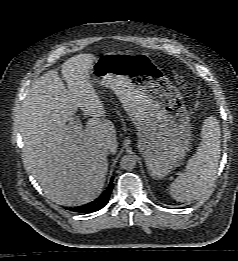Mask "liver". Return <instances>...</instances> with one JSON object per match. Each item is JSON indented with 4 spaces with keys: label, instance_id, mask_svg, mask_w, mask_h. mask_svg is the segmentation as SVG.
<instances>
[{
    "label": "liver",
    "instance_id": "obj_1",
    "mask_svg": "<svg viewBox=\"0 0 238 261\" xmlns=\"http://www.w3.org/2000/svg\"><path fill=\"white\" fill-rule=\"evenodd\" d=\"M96 57L79 54L37 78L23 101L20 132L28 172L58 205L79 206L98 197L108 171L107 152L117 151L116 130L90 80ZM80 108L90 118L85 129L66 125Z\"/></svg>",
    "mask_w": 238,
    "mask_h": 261
}]
</instances>
